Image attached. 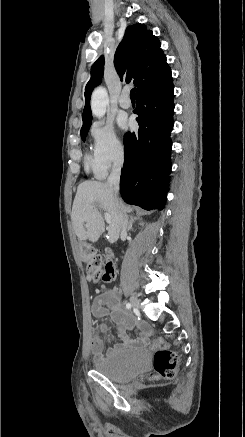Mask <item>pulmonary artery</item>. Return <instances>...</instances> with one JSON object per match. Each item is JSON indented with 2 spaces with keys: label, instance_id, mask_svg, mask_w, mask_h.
Segmentation results:
<instances>
[{
  "label": "pulmonary artery",
  "instance_id": "e3ab8cb5",
  "mask_svg": "<svg viewBox=\"0 0 245 437\" xmlns=\"http://www.w3.org/2000/svg\"><path fill=\"white\" fill-rule=\"evenodd\" d=\"M128 94H129V90L127 88L123 89V91L119 97V100H118L119 106L121 108H124V109L130 108L131 101L128 97Z\"/></svg>",
  "mask_w": 245,
  "mask_h": 437
}]
</instances>
